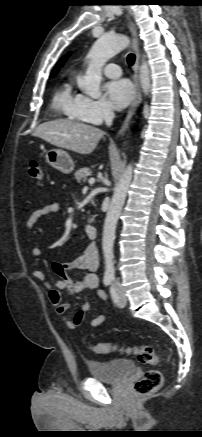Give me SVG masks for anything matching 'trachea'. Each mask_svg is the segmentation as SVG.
<instances>
[{
  "instance_id": "trachea-1",
  "label": "trachea",
  "mask_w": 202,
  "mask_h": 437,
  "mask_svg": "<svg viewBox=\"0 0 202 437\" xmlns=\"http://www.w3.org/2000/svg\"><path fill=\"white\" fill-rule=\"evenodd\" d=\"M135 62V55L134 54H129L127 56V63L129 66H132Z\"/></svg>"
}]
</instances>
